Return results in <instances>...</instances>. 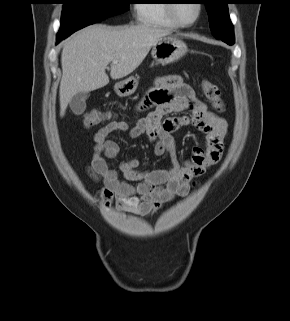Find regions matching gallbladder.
<instances>
[{"label":"gallbladder","mask_w":290,"mask_h":321,"mask_svg":"<svg viewBox=\"0 0 290 321\" xmlns=\"http://www.w3.org/2000/svg\"><path fill=\"white\" fill-rule=\"evenodd\" d=\"M88 93L80 92L73 96L69 105L75 115H81L86 109V99Z\"/></svg>","instance_id":"gallbladder-1"}]
</instances>
